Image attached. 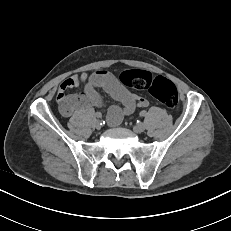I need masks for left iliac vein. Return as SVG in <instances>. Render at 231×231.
Segmentation results:
<instances>
[{"instance_id":"4c4485c4","label":"left iliac vein","mask_w":231,"mask_h":231,"mask_svg":"<svg viewBox=\"0 0 231 231\" xmlns=\"http://www.w3.org/2000/svg\"><path fill=\"white\" fill-rule=\"evenodd\" d=\"M133 129L136 133H142L145 130V125L143 123H139L136 124Z\"/></svg>"}]
</instances>
